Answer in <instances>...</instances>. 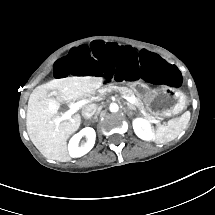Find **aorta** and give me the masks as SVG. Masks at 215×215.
<instances>
[{
	"mask_svg": "<svg viewBox=\"0 0 215 215\" xmlns=\"http://www.w3.org/2000/svg\"><path fill=\"white\" fill-rule=\"evenodd\" d=\"M109 110H110V112H118V110H119V106H118V104L117 103H111L110 105H109Z\"/></svg>",
	"mask_w": 215,
	"mask_h": 215,
	"instance_id": "1",
	"label": "aorta"
}]
</instances>
